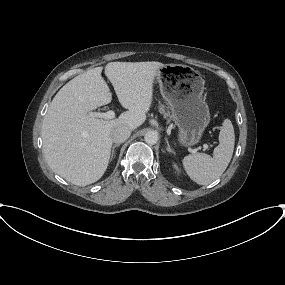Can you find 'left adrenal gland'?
<instances>
[{"label":"left adrenal gland","mask_w":285,"mask_h":285,"mask_svg":"<svg viewBox=\"0 0 285 285\" xmlns=\"http://www.w3.org/2000/svg\"><path fill=\"white\" fill-rule=\"evenodd\" d=\"M165 140H166V144H167V151H168L169 153H174L173 149H172V148L170 147V145H169L168 139L166 138Z\"/></svg>","instance_id":"obj_1"}]
</instances>
